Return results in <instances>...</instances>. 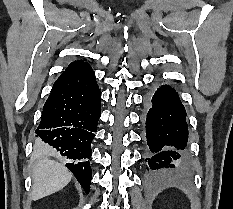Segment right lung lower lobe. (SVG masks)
I'll use <instances>...</instances> for the list:
<instances>
[{
    "label": "right lung lower lobe",
    "mask_w": 233,
    "mask_h": 209,
    "mask_svg": "<svg viewBox=\"0 0 233 209\" xmlns=\"http://www.w3.org/2000/svg\"><path fill=\"white\" fill-rule=\"evenodd\" d=\"M101 93L91 66L59 78L46 100L36 136L68 159L66 167L86 193L92 179L91 142L101 115Z\"/></svg>",
    "instance_id": "98d812e1"
}]
</instances>
